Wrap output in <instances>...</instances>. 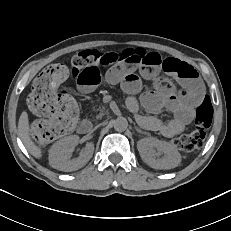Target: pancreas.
<instances>
[{"label":"pancreas","mask_w":231,"mask_h":231,"mask_svg":"<svg viewBox=\"0 0 231 231\" xmlns=\"http://www.w3.org/2000/svg\"><path fill=\"white\" fill-rule=\"evenodd\" d=\"M103 115H104V113L101 112L97 117H98V118H101Z\"/></svg>","instance_id":"obj_1"}]
</instances>
